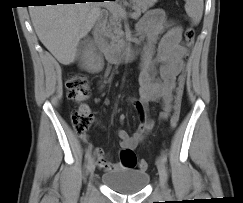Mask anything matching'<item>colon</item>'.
I'll use <instances>...</instances> for the list:
<instances>
[{"label":"colon","mask_w":243,"mask_h":203,"mask_svg":"<svg viewBox=\"0 0 243 203\" xmlns=\"http://www.w3.org/2000/svg\"><path fill=\"white\" fill-rule=\"evenodd\" d=\"M184 38L186 45L190 48L193 46L195 41V31L192 26H188L184 32ZM185 77L181 75L178 80V85L176 89L175 96V107L174 112L170 119V126L172 129L176 128L180 118V103L184 90ZM67 96L70 100L82 103L84 102L90 93L89 83L84 74L73 73L69 76L66 83ZM72 124L77 135L83 136L86 134L93 121V115L90 110L84 106L80 105L77 109L72 112L71 115ZM121 163L125 168H133L136 164V156L132 149L125 148L120 154ZM138 166L141 170H146L148 168V163L146 160H140Z\"/></svg>","instance_id":"colon-1"}]
</instances>
